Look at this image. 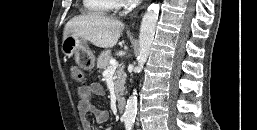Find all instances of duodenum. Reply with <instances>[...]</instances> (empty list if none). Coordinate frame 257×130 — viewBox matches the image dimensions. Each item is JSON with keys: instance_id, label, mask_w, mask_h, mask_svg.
<instances>
[{"instance_id": "410a0bca", "label": "duodenum", "mask_w": 257, "mask_h": 130, "mask_svg": "<svg viewBox=\"0 0 257 130\" xmlns=\"http://www.w3.org/2000/svg\"><path fill=\"white\" fill-rule=\"evenodd\" d=\"M125 106H126V101L124 98L120 97L117 99V110L120 113H123L125 110Z\"/></svg>"}]
</instances>
